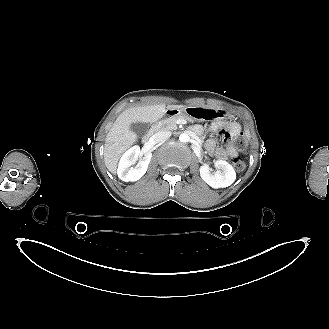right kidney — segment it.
I'll return each instance as SVG.
<instances>
[{
	"mask_svg": "<svg viewBox=\"0 0 329 329\" xmlns=\"http://www.w3.org/2000/svg\"><path fill=\"white\" fill-rule=\"evenodd\" d=\"M141 156L140 147L135 145L129 148L121 157L117 174L118 177L125 182H134L139 180L147 171L148 165L151 161L152 153L145 152L143 159L139 162L136 168H133L132 165L138 160Z\"/></svg>",
	"mask_w": 329,
	"mask_h": 329,
	"instance_id": "right-kidney-1",
	"label": "right kidney"
}]
</instances>
